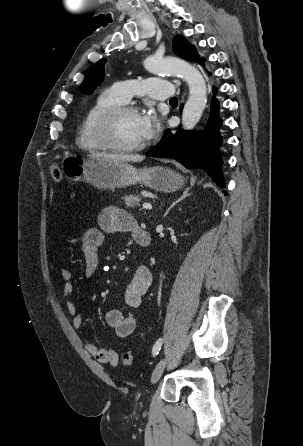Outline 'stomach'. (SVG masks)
<instances>
[{
	"label": "stomach",
	"mask_w": 303,
	"mask_h": 446,
	"mask_svg": "<svg viewBox=\"0 0 303 446\" xmlns=\"http://www.w3.org/2000/svg\"><path fill=\"white\" fill-rule=\"evenodd\" d=\"M65 177L73 182L84 181L99 189L144 184L161 192H175L183 187L184 178L166 167L137 169L127 162H110L66 154L61 162Z\"/></svg>",
	"instance_id": "stomach-1"
}]
</instances>
